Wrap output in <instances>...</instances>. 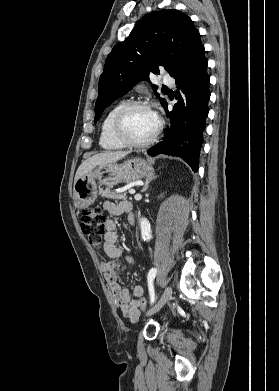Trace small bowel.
I'll return each mask as SVG.
<instances>
[{
	"instance_id": "c3829d8e",
	"label": "small bowel",
	"mask_w": 279,
	"mask_h": 391,
	"mask_svg": "<svg viewBox=\"0 0 279 391\" xmlns=\"http://www.w3.org/2000/svg\"><path fill=\"white\" fill-rule=\"evenodd\" d=\"M129 203L121 201L113 203L106 201L103 204V209L111 215L118 216L127 211ZM106 234L104 238L103 250L110 258L109 261L101 263V270L104 273L105 280L115 296L122 315L130 320L136 322L140 316V309L137 300L143 297V288L140 285H134L131 290L122 288L117 277L124 272L123 251L118 246V233L116 223L108 219L106 220ZM129 262H133L131 258H127Z\"/></svg>"
}]
</instances>
